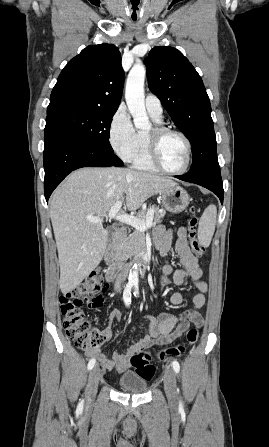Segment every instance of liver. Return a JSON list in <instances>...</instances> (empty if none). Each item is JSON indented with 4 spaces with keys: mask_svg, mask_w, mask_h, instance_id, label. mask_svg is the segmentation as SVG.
<instances>
[{
    "mask_svg": "<svg viewBox=\"0 0 269 447\" xmlns=\"http://www.w3.org/2000/svg\"><path fill=\"white\" fill-rule=\"evenodd\" d=\"M172 180L125 168H80L55 190L50 202L60 265V289H75L99 265L106 249L108 231L102 222L86 216H107L116 202L135 212L145 200L160 194Z\"/></svg>",
    "mask_w": 269,
    "mask_h": 447,
    "instance_id": "6515ba94",
    "label": "liver"
}]
</instances>
